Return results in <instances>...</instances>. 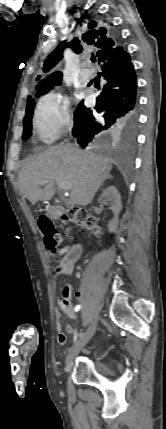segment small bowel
I'll list each match as a JSON object with an SVG mask.
<instances>
[{
  "instance_id": "c3829d8e",
  "label": "small bowel",
  "mask_w": 166,
  "mask_h": 429,
  "mask_svg": "<svg viewBox=\"0 0 166 429\" xmlns=\"http://www.w3.org/2000/svg\"><path fill=\"white\" fill-rule=\"evenodd\" d=\"M83 253V247L80 243H70L61 248L58 252L60 262L55 268V275L57 277L69 276L73 273L74 265L81 257ZM76 296L81 297V293H77ZM62 313L71 319H76L74 308L69 299V290L65 288L63 290L62 298L58 300V309H56V329H57V340L61 345H65L67 337L62 329L60 318ZM66 332L69 334L74 333V328L71 325L66 326Z\"/></svg>"
}]
</instances>
